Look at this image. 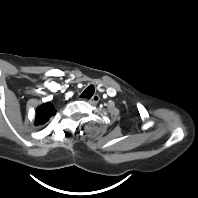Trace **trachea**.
<instances>
[{"label": "trachea", "mask_w": 198, "mask_h": 198, "mask_svg": "<svg viewBox=\"0 0 198 198\" xmlns=\"http://www.w3.org/2000/svg\"><path fill=\"white\" fill-rule=\"evenodd\" d=\"M95 92V89H94V86L93 85H90L89 87H87L84 92L81 94V98H87V99H90L93 94Z\"/></svg>", "instance_id": "obj_1"}]
</instances>
